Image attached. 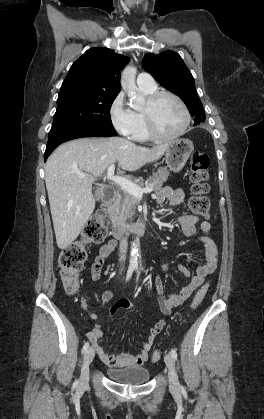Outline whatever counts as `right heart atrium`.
I'll use <instances>...</instances> for the list:
<instances>
[{
    "instance_id": "obj_1",
    "label": "right heart atrium",
    "mask_w": 264,
    "mask_h": 419,
    "mask_svg": "<svg viewBox=\"0 0 264 419\" xmlns=\"http://www.w3.org/2000/svg\"><path fill=\"white\" fill-rule=\"evenodd\" d=\"M111 122L121 135L131 136L135 127L134 112L127 107L124 94L120 92L110 106Z\"/></svg>"
}]
</instances>
